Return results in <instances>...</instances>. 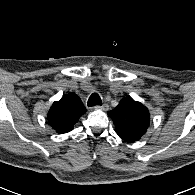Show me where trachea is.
I'll return each mask as SVG.
<instances>
[{
    "label": "trachea",
    "instance_id": "1",
    "mask_svg": "<svg viewBox=\"0 0 195 195\" xmlns=\"http://www.w3.org/2000/svg\"><path fill=\"white\" fill-rule=\"evenodd\" d=\"M87 105H88V107H92V106H96V105H102V100H101V98L98 94L93 93L89 97Z\"/></svg>",
    "mask_w": 195,
    "mask_h": 195
}]
</instances>
